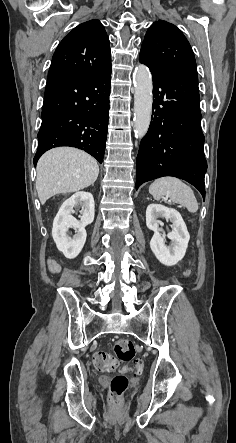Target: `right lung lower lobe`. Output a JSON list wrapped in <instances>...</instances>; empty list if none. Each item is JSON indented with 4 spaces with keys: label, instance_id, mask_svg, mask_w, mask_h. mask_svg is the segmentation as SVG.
<instances>
[{
    "label": "right lung lower lobe",
    "instance_id": "right-lung-lower-lobe-1",
    "mask_svg": "<svg viewBox=\"0 0 236 443\" xmlns=\"http://www.w3.org/2000/svg\"><path fill=\"white\" fill-rule=\"evenodd\" d=\"M111 67L93 75L48 77L36 165L58 146L82 149L102 163L107 138Z\"/></svg>",
    "mask_w": 236,
    "mask_h": 443
}]
</instances>
